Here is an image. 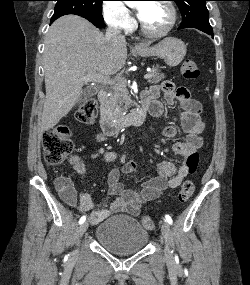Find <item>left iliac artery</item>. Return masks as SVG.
<instances>
[{
    "mask_svg": "<svg viewBox=\"0 0 250 285\" xmlns=\"http://www.w3.org/2000/svg\"><path fill=\"white\" fill-rule=\"evenodd\" d=\"M165 220H166L169 224H172V223H173L172 218H171L169 215H165Z\"/></svg>",
    "mask_w": 250,
    "mask_h": 285,
    "instance_id": "44dca946",
    "label": "left iliac artery"
}]
</instances>
